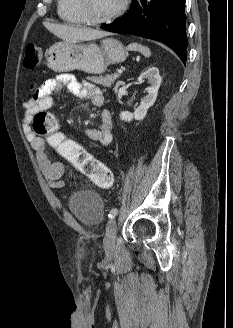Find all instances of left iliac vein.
<instances>
[{
    "label": "left iliac vein",
    "instance_id": "obj_1",
    "mask_svg": "<svg viewBox=\"0 0 233 328\" xmlns=\"http://www.w3.org/2000/svg\"><path fill=\"white\" fill-rule=\"evenodd\" d=\"M117 233V221L116 219H111L107 225V233L104 238V249L107 254L113 253L115 249V240Z\"/></svg>",
    "mask_w": 233,
    "mask_h": 328
}]
</instances>
